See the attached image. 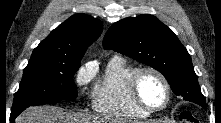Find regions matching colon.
Returning a JSON list of instances; mask_svg holds the SVG:
<instances>
[{
  "instance_id": "obj_1",
  "label": "colon",
  "mask_w": 221,
  "mask_h": 123,
  "mask_svg": "<svg viewBox=\"0 0 221 123\" xmlns=\"http://www.w3.org/2000/svg\"><path fill=\"white\" fill-rule=\"evenodd\" d=\"M180 123H198V119L192 113L184 111L180 114Z\"/></svg>"
}]
</instances>
